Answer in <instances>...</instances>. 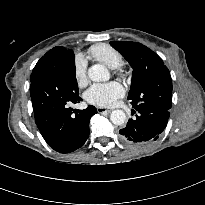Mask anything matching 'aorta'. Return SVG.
<instances>
[{
    "label": "aorta",
    "instance_id": "obj_1",
    "mask_svg": "<svg viewBox=\"0 0 205 205\" xmlns=\"http://www.w3.org/2000/svg\"><path fill=\"white\" fill-rule=\"evenodd\" d=\"M88 77L94 82L107 81L110 78L108 69L102 64H95L88 70ZM110 121L115 125H122L126 121V114L122 110H114L110 114Z\"/></svg>",
    "mask_w": 205,
    "mask_h": 205
}]
</instances>
